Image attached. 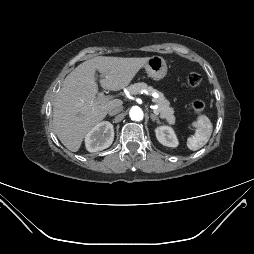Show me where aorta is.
<instances>
[{"mask_svg": "<svg viewBox=\"0 0 254 254\" xmlns=\"http://www.w3.org/2000/svg\"><path fill=\"white\" fill-rule=\"evenodd\" d=\"M129 115L131 119L135 121H140L143 119V111L137 106H134L130 109Z\"/></svg>", "mask_w": 254, "mask_h": 254, "instance_id": "aorta-1", "label": "aorta"}]
</instances>
